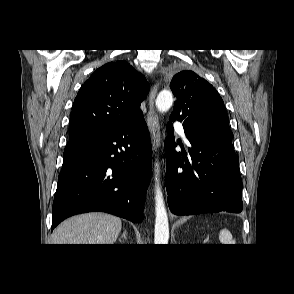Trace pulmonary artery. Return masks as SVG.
I'll list each match as a JSON object with an SVG mask.
<instances>
[{"label": "pulmonary artery", "mask_w": 294, "mask_h": 294, "mask_svg": "<svg viewBox=\"0 0 294 294\" xmlns=\"http://www.w3.org/2000/svg\"><path fill=\"white\" fill-rule=\"evenodd\" d=\"M174 128H175V130L183 137V139H184V142L186 143V144H188L189 143V141H188V139L186 138V136H185V134H184V127H183V125L180 123V122H175L174 123Z\"/></svg>", "instance_id": "obj_1"}]
</instances>
